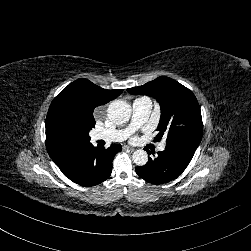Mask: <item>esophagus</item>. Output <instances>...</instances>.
Listing matches in <instances>:
<instances>
[{"label":"esophagus","instance_id":"1","mask_svg":"<svg viewBox=\"0 0 251 251\" xmlns=\"http://www.w3.org/2000/svg\"><path fill=\"white\" fill-rule=\"evenodd\" d=\"M123 149H124V150H129L130 152L135 151V148L130 147V146H124Z\"/></svg>","mask_w":251,"mask_h":251}]
</instances>
